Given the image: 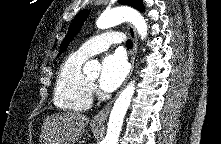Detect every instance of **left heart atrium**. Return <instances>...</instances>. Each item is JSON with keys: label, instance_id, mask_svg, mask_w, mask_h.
<instances>
[{"label": "left heart atrium", "instance_id": "left-heart-atrium-1", "mask_svg": "<svg viewBox=\"0 0 221 144\" xmlns=\"http://www.w3.org/2000/svg\"><path fill=\"white\" fill-rule=\"evenodd\" d=\"M127 72L128 66L122 55L117 53L107 55L102 61L100 87L108 92L114 91L121 85Z\"/></svg>", "mask_w": 221, "mask_h": 144}]
</instances>
